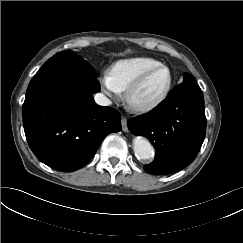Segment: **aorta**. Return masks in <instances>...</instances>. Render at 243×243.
Masks as SVG:
<instances>
[{
  "label": "aorta",
  "instance_id": "762f6f07",
  "mask_svg": "<svg viewBox=\"0 0 243 243\" xmlns=\"http://www.w3.org/2000/svg\"><path fill=\"white\" fill-rule=\"evenodd\" d=\"M133 150L137 158L149 160L153 156V148L149 141L142 137H136L133 141Z\"/></svg>",
  "mask_w": 243,
  "mask_h": 243
}]
</instances>
